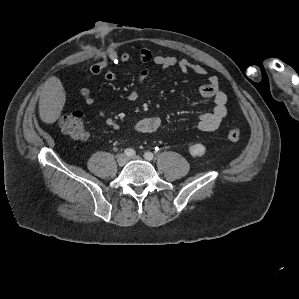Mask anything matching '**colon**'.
Returning <instances> with one entry per match:
<instances>
[{
  "label": "colon",
  "instance_id": "1",
  "mask_svg": "<svg viewBox=\"0 0 299 299\" xmlns=\"http://www.w3.org/2000/svg\"><path fill=\"white\" fill-rule=\"evenodd\" d=\"M61 131L74 139H85L88 137L87 126L84 122L83 114L80 111H72L62 115L59 119ZM241 138L239 128H232L226 134V139L232 142Z\"/></svg>",
  "mask_w": 299,
  "mask_h": 299
}]
</instances>
